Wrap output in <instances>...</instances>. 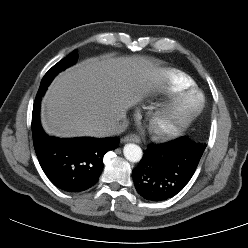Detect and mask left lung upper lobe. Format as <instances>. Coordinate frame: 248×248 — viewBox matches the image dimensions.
I'll return each instance as SVG.
<instances>
[{
    "mask_svg": "<svg viewBox=\"0 0 248 248\" xmlns=\"http://www.w3.org/2000/svg\"><path fill=\"white\" fill-rule=\"evenodd\" d=\"M196 144H198L199 146H201L202 148H206V144H203V143H196Z\"/></svg>",
    "mask_w": 248,
    "mask_h": 248,
    "instance_id": "obj_1",
    "label": "left lung upper lobe"
}]
</instances>
